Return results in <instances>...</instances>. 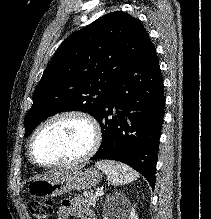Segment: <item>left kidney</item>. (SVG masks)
<instances>
[{
  "instance_id": "obj_1",
  "label": "left kidney",
  "mask_w": 211,
  "mask_h": 219,
  "mask_svg": "<svg viewBox=\"0 0 211 219\" xmlns=\"http://www.w3.org/2000/svg\"><path fill=\"white\" fill-rule=\"evenodd\" d=\"M116 199L121 200L119 204L123 206V209L117 210L116 212L112 213V215L110 213H105L104 219H111L112 216L117 219H138V215L135 212V209L126 206V198L124 195L116 194Z\"/></svg>"
}]
</instances>
